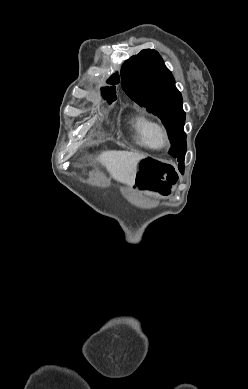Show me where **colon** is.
<instances>
[{
	"label": "colon",
	"instance_id": "obj_1",
	"mask_svg": "<svg viewBox=\"0 0 248 389\" xmlns=\"http://www.w3.org/2000/svg\"><path fill=\"white\" fill-rule=\"evenodd\" d=\"M136 170V184L161 195H168L177 181V173L171 162L158 161L156 157H139Z\"/></svg>",
	"mask_w": 248,
	"mask_h": 389
}]
</instances>
